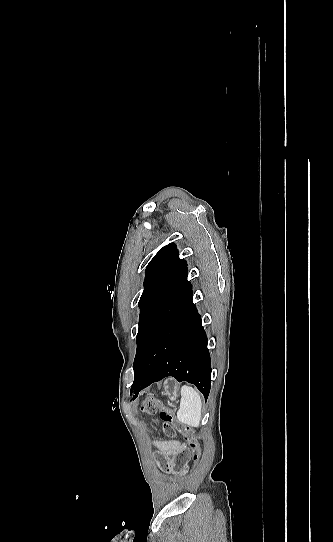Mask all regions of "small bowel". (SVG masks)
<instances>
[{
    "mask_svg": "<svg viewBox=\"0 0 333 542\" xmlns=\"http://www.w3.org/2000/svg\"><path fill=\"white\" fill-rule=\"evenodd\" d=\"M146 430L153 434L152 429L147 428ZM153 445L161 454L154 455L155 461H160L161 457L171 459L179 454L185 453L187 450L186 445L178 440H155L153 441Z\"/></svg>",
    "mask_w": 333,
    "mask_h": 542,
    "instance_id": "obj_1",
    "label": "small bowel"
}]
</instances>
